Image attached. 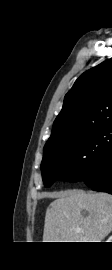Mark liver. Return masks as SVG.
I'll return each mask as SVG.
<instances>
[{
    "label": "liver",
    "instance_id": "1",
    "mask_svg": "<svg viewBox=\"0 0 112 270\" xmlns=\"http://www.w3.org/2000/svg\"><path fill=\"white\" fill-rule=\"evenodd\" d=\"M50 196L56 199L46 210L43 242H102L112 231V195L74 190Z\"/></svg>",
    "mask_w": 112,
    "mask_h": 270
}]
</instances>
